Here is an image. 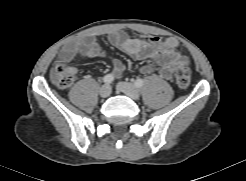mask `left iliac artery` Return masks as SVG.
Returning <instances> with one entry per match:
<instances>
[{"instance_id":"1","label":"left iliac artery","mask_w":246,"mask_h":181,"mask_svg":"<svg viewBox=\"0 0 246 181\" xmlns=\"http://www.w3.org/2000/svg\"><path fill=\"white\" fill-rule=\"evenodd\" d=\"M143 84H144V81L140 78L135 81V86L138 88L142 87Z\"/></svg>"}]
</instances>
